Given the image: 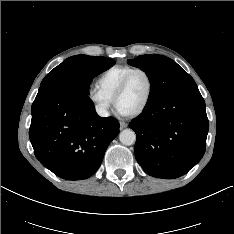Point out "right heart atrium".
Here are the masks:
<instances>
[{
    "label": "right heart atrium",
    "mask_w": 234,
    "mask_h": 234,
    "mask_svg": "<svg viewBox=\"0 0 234 234\" xmlns=\"http://www.w3.org/2000/svg\"><path fill=\"white\" fill-rule=\"evenodd\" d=\"M86 95L100 115L107 116L109 114L112 107V99L98 85H90L87 88Z\"/></svg>",
    "instance_id": "1"
}]
</instances>
